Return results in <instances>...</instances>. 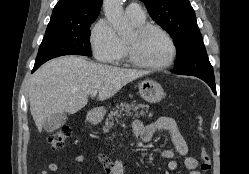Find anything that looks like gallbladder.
I'll list each match as a JSON object with an SVG mask.
<instances>
[{
  "label": "gallbladder",
  "mask_w": 249,
  "mask_h": 174,
  "mask_svg": "<svg viewBox=\"0 0 249 174\" xmlns=\"http://www.w3.org/2000/svg\"><path fill=\"white\" fill-rule=\"evenodd\" d=\"M67 116L65 113H55L47 117L43 123V129L53 132L65 124Z\"/></svg>",
  "instance_id": "gallbladder-1"
}]
</instances>
